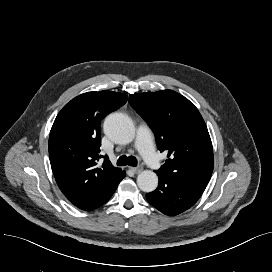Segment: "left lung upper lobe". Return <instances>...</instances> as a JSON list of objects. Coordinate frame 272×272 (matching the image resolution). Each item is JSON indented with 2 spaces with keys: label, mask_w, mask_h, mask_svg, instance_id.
I'll list each match as a JSON object with an SVG mask.
<instances>
[{
  "label": "left lung upper lobe",
  "mask_w": 272,
  "mask_h": 272,
  "mask_svg": "<svg viewBox=\"0 0 272 272\" xmlns=\"http://www.w3.org/2000/svg\"><path fill=\"white\" fill-rule=\"evenodd\" d=\"M129 103L155 132L160 151L168 152L156 173L207 185L214 166L213 148L198 109L172 90L131 94Z\"/></svg>",
  "instance_id": "left-lung-upper-lobe-1"
}]
</instances>
